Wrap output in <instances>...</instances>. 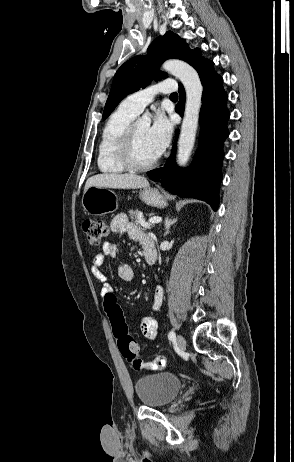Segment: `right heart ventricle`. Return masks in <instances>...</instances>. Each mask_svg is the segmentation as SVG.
Listing matches in <instances>:
<instances>
[{
  "label": "right heart ventricle",
  "instance_id": "e07e8e85",
  "mask_svg": "<svg viewBox=\"0 0 294 462\" xmlns=\"http://www.w3.org/2000/svg\"><path fill=\"white\" fill-rule=\"evenodd\" d=\"M137 115L122 104L110 115L103 127L98 146V169L105 174H119L126 171L117 158V147L125 128Z\"/></svg>",
  "mask_w": 294,
  "mask_h": 462
}]
</instances>
